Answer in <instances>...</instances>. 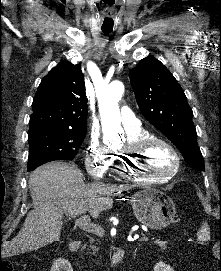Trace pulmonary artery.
Masks as SVG:
<instances>
[{"mask_svg": "<svg viewBox=\"0 0 221 271\" xmlns=\"http://www.w3.org/2000/svg\"><path fill=\"white\" fill-rule=\"evenodd\" d=\"M120 112L121 127H140L139 117L136 112H131V107H120ZM127 133H141V128H127Z\"/></svg>", "mask_w": 221, "mask_h": 271, "instance_id": "obj_1", "label": "pulmonary artery"}]
</instances>
